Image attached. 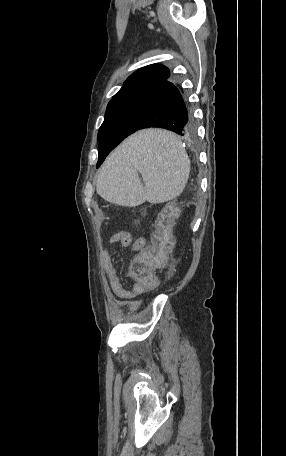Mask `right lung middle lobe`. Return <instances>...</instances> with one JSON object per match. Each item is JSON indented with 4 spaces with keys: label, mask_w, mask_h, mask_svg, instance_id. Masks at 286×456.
I'll return each mask as SVG.
<instances>
[{
    "label": "right lung middle lobe",
    "mask_w": 286,
    "mask_h": 456,
    "mask_svg": "<svg viewBox=\"0 0 286 456\" xmlns=\"http://www.w3.org/2000/svg\"><path fill=\"white\" fill-rule=\"evenodd\" d=\"M131 130L124 99L109 102L104 122L97 136L99 141L97 168L103 163L110 151L132 133Z\"/></svg>",
    "instance_id": "right-lung-middle-lobe-1"
}]
</instances>
